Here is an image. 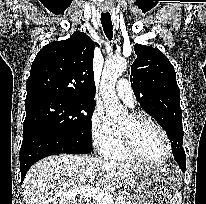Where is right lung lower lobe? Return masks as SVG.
<instances>
[{"label": "right lung lower lobe", "mask_w": 206, "mask_h": 204, "mask_svg": "<svg viewBox=\"0 0 206 204\" xmlns=\"http://www.w3.org/2000/svg\"><path fill=\"white\" fill-rule=\"evenodd\" d=\"M92 145L77 139L43 128L32 129L23 135L20 149V171L23 182L28 169L40 159L60 153L87 154Z\"/></svg>", "instance_id": "1"}]
</instances>
